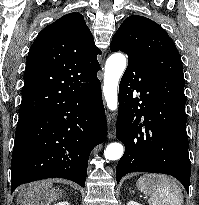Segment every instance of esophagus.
Masks as SVG:
<instances>
[{
  "label": "esophagus",
  "instance_id": "34e87169",
  "mask_svg": "<svg viewBox=\"0 0 199 205\" xmlns=\"http://www.w3.org/2000/svg\"><path fill=\"white\" fill-rule=\"evenodd\" d=\"M116 118L114 114H109L107 117L108 137L113 139L115 137Z\"/></svg>",
  "mask_w": 199,
  "mask_h": 205
}]
</instances>
